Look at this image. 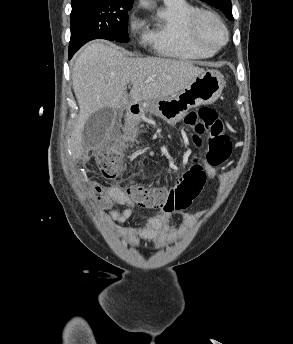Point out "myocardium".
<instances>
[{"instance_id":"1","label":"myocardium","mask_w":293,"mask_h":344,"mask_svg":"<svg viewBox=\"0 0 293 344\" xmlns=\"http://www.w3.org/2000/svg\"><path fill=\"white\" fill-rule=\"evenodd\" d=\"M205 20H211L214 23H216L222 30L224 38L222 42H220L216 46H209L202 38L201 35V25L203 21ZM187 32L190 40L199 48L210 51V52H217L221 48H223L228 40H229V31L223 22V20L220 18L218 14H216L213 11L210 10H198L189 20L188 26H187Z\"/></svg>"}]
</instances>
